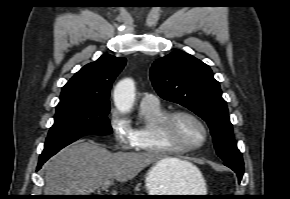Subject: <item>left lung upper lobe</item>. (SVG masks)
Returning a JSON list of instances; mask_svg holds the SVG:
<instances>
[{
  "label": "left lung upper lobe",
  "mask_w": 290,
  "mask_h": 199,
  "mask_svg": "<svg viewBox=\"0 0 290 199\" xmlns=\"http://www.w3.org/2000/svg\"><path fill=\"white\" fill-rule=\"evenodd\" d=\"M150 78L157 93L204 119L223 161H243L236 146L226 101L208 65L180 50L156 60Z\"/></svg>",
  "instance_id": "5c2ea615"
}]
</instances>
